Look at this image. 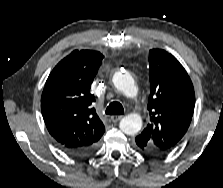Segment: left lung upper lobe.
Returning a JSON list of instances; mask_svg holds the SVG:
<instances>
[{
    "label": "left lung upper lobe",
    "instance_id": "left-lung-upper-lobe-1",
    "mask_svg": "<svg viewBox=\"0 0 223 188\" xmlns=\"http://www.w3.org/2000/svg\"><path fill=\"white\" fill-rule=\"evenodd\" d=\"M150 122L136 137L145 149L170 152L186 133L194 111L195 93L179 61L161 49L149 52Z\"/></svg>",
    "mask_w": 223,
    "mask_h": 188
}]
</instances>
